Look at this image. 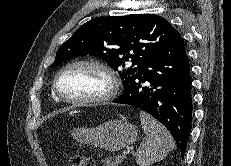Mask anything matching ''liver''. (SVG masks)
<instances>
[{"instance_id": "obj_1", "label": "liver", "mask_w": 231, "mask_h": 166, "mask_svg": "<svg viewBox=\"0 0 231 166\" xmlns=\"http://www.w3.org/2000/svg\"><path fill=\"white\" fill-rule=\"evenodd\" d=\"M71 109H72V108H68V109L65 110V112H67V111H69V110H71Z\"/></svg>"}]
</instances>
